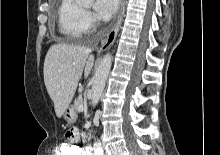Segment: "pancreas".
Masks as SVG:
<instances>
[{
    "instance_id": "cf45deb5",
    "label": "pancreas",
    "mask_w": 220,
    "mask_h": 155,
    "mask_svg": "<svg viewBox=\"0 0 220 155\" xmlns=\"http://www.w3.org/2000/svg\"><path fill=\"white\" fill-rule=\"evenodd\" d=\"M83 104V98L82 96H78V98L75 100L73 109L75 112H79V106Z\"/></svg>"
}]
</instances>
